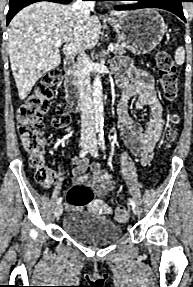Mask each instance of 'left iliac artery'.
Returning a JSON list of instances; mask_svg holds the SVG:
<instances>
[{
	"instance_id": "obj_1",
	"label": "left iliac artery",
	"mask_w": 193,
	"mask_h": 287,
	"mask_svg": "<svg viewBox=\"0 0 193 287\" xmlns=\"http://www.w3.org/2000/svg\"><path fill=\"white\" fill-rule=\"evenodd\" d=\"M99 146L102 149V151L105 153V139H104V132L99 133ZM129 203L132 205V207H135L136 204L132 199H129Z\"/></svg>"
}]
</instances>
